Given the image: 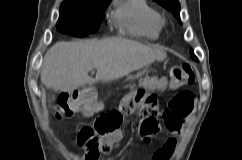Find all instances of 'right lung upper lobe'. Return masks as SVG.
<instances>
[{
  "mask_svg": "<svg viewBox=\"0 0 242 160\" xmlns=\"http://www.w3.org/2000/svg\"><path fill=\"white\" fill-rule=\"evenodd\" d=\"M93 0H64V2H76V3H84Z\"/></svg>",
  "mask_w": 242,
  "mask_h": 160,
  "instance_id": "1",
  "label": "right lung upper lobe"
}]
</instances>
